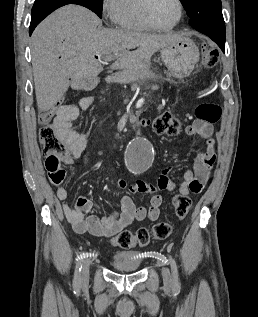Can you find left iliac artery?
<instances>
[{
  "label": "left iliac artery",
  "mask_w": 258,
  "mask_h": 317,
  "mask_svg": "<svg viewBox=\"0 0 258 317\" xmlns=\"http://www.w3.org/2000/svg\"><path fill=\"white\" fill-rule=\"evenodd\" d=\"M170 265H171V270H172V276L174 280V287H173V293L178 294L180 292V284L178 282V267L176 261L172 258L171 255H168Z\"/></svg>",
  "instance_id": "obj_1"
}]
</instances>
